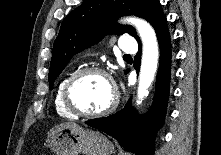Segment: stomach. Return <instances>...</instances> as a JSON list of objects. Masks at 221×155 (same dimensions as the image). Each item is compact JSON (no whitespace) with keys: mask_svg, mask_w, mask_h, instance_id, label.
I'll return each mask as SVG.
<instances>
[{"mask_svg":"<svg viewBox=\"0 0 221 155\" xmlns=\"http://www.w3.org/2000/svg\"><path fill=\"white\" fill-rule=\"evenodd\" d=\"M47 147L55 155H112L114 152V145L102 133L74 123L54 126Z\"/></svg>","mask_w":221,"mask_h":155,"instance_id":"obj_1","label":"stomach"}]
</instances>
